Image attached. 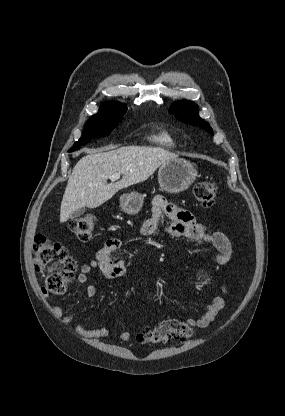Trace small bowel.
I'll return each instance as SVG.
<instances>
[{
	"instance_id": "1",
	"label": "small bowel",
	"mask_w": 285,
	"mask_h": 416,
	"mask_svg": "<svg viewBox=\"0 0 285 416\" xmlns=\"http://www.w3.org/2000/svg\"><path fill=\"white\" fill-rule=\"evenodd\" d=\"M164 217L170 220V223L164 228L169 235L188 239L199 245L214 249L217 252L215 259L218 264H226L231 258L232 246L223 232L207 229L205 225L197 222L191 212L168 203L161 196L153 199L152 214L144 221L141 233L144 236L154 235L162 227ZM122 246L123 244L119 239H109L97 252L95 259L81 266L77 281L86 285L85 292L88 298H93L96 294L95 286L89 283V275L93 270H99L107 279H125L127 277V268L121 256ZM225 291V288H223V292ZM43 294L47 298H51L46 290H43ZM224 307V298L217 296L210 305L206 306L199 318H188L185 323L190 327L206 328ZM51 311L64 324H70L74 321V316L58 305H52ZM75 331L80 337L86 339L104 338L110 334V329L107 327L101 326L89 329L81 323L76 324ZM117 338L121 341H127L130 338V333L123 331L118 334Z\"/></svg>"
}]
</instances>
